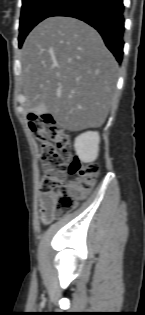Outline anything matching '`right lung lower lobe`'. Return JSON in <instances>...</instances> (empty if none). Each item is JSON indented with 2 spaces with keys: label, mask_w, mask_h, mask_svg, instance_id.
Wrapping results in <instances>:
<instances>
[{
  "label": "right lung lower lobe",
  "mask_w": 145,
  "mask_h": 315,
  "mask_svg": "<svg viewBox=\"0 0 145 315\" xmlns=\"http://www.w3.org/2000/svg\"><path fill=\"white\" fill-rule=\"evenodd\" d=\"M123 0H65L49 17L67 16L80 19L94 27L107 48L121 63L124 34Z\"/></svg>",
  "instance_id": "1"
}]
</instances>
